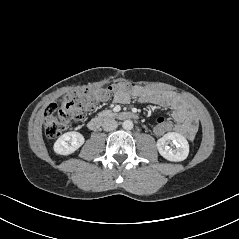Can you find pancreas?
Wrapping results in <instances>:
<instances>
[{"label":"pancreas","instance_id":"pancreas-1","mask_svg":"<svg viewBox=\"0 0 239 239\" xmlns=\"http://www.w3.org/2000/svg\"><path fill=\"white\" fill-rule=\"evenodd\" d=\"M112 111L111 110H104L101 113H99V115H106V114H111Z\"/></svg>","mask_w":239,"mask_h":239}]
</instances>
